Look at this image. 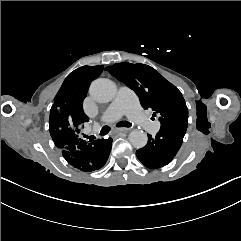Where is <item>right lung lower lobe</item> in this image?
<instances>
[{"instance_id": "98d812e1", "label": "right lung lower lobe", "mask_w": 241, "mask_h": 241, "mask_svg": "<svg viewBox=\"0 0 241 241\" xmlns=\"http://www.w3.org/2000/svg\"><path fill=\"white\" fill-rule=\"evenodd\" d=\"M112 138L94 141L80 140L61 150L65 160L73 167L91 172L103 167L111 151Z\"/></svg>"}]
</instances>
